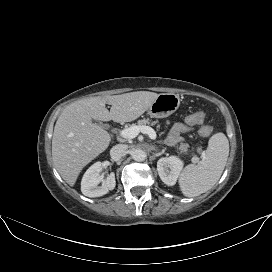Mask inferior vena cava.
I'll return each instance as SVG.
<instances>
[{
  "label": "inferior vena cava",
  "mask_w": 272,
  "mask_h": 272,
  "mask_svg": "<svg viewBox=\"0 0 272 272\" xmlns=\"http://www.w3.org/2000/svg\"><path fill=\"white\" fill-rule=\"evenodd\" d=\"M127 146L124 144H117L113 146L110 150V156L113 161H118L120 160L125 152H126Z\"/></svg>",
  "instance_id": "1"
}]
</instances>
